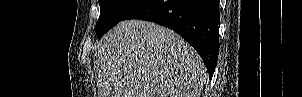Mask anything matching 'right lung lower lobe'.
<instances>
[{
	"label": "right lung lower lobe",
	"instance_id": "1",
	"mask_svg": "<svg viewBox=\"0 0 302 97\" xmlns=\"http://www.w3.org/2000/svg\"><path fill=\"white\" fill-rule=\"evenodd\" d=\"M140 19L168 27L193 46L210 79L219 53V0H142L122 20Z\"/></svg>",
	"mask_w": 302,
	"mask_h": 97
}]
</instances>
